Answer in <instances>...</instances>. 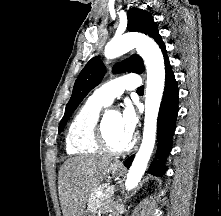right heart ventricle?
Listing matches in <instances>:
<instances>
[{"mask_svg":"<svg viewBox=\"0 0 221 216\" xmlns=\"http://www.w3.org/2000/svg\"><path fill=\"white\" fill-rule=\"evenodd\" d=\"M104 103L91 97L72 119L66 133V150L71 155H89L100 151L96 129Z\"/></svg>","mask_w":221,"mask_h":216,"instance_id":"1","label":"right heart ventricle"}]
</instances>
